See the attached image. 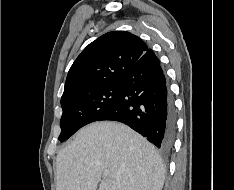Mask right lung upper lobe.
I'll use <instances>...</instances> for the list:
<instances>
[{
  "label": "right lung upper lobe",
  "instance_id": "cb5924a9",
  "mask_svg": "<svg viewBox=\"0 0 234 190\" xmlns=\"http://www.w3.org/2000/svg\"><path fill=\"white\" fill-rule=\"evenodd\" d=\"M148 50L144 41L126 31L102 35L74 61L66 78L61 101L83 91L119 82Z\"/></svg>",
  "mask_w": 234,
  "mask_h": 190
}]
</instances>
